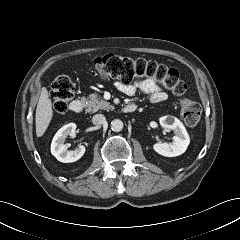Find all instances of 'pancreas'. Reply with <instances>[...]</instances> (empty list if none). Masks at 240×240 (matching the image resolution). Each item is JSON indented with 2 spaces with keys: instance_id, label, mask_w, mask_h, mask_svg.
<instances>
[{
  "instance_id": "1",
  "label": "pancreas",
  "mask_w": 240,
  "mask_h": 240,
  "mask_svg": "<svg viewBox=\"0 0 240 240\" xmlns=\"http://www.w3.org/2000/svg\"><path fill=\"white\" fill-rule=\"evenodd\" d=\"M82 101L85 102L87 112L94 113V112L98 111L99 109H102V110L114 109V107L111 106L109 102H107L103 99H100L98 94H95V93L90 94L87 99L85 97H83Z\"/></svg>"
}]
</instances>
